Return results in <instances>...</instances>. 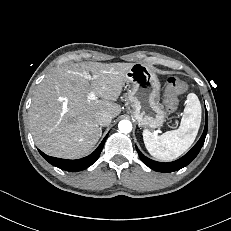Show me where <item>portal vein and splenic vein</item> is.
Returning <instances> with one entry per match:
<instances>
[{
	"label": "portal vein and splenic vein",
	"instance_id": "obj_1",
	"mask_svg": "<svg viewBox=\"0 0 231 231\" xmlns=\"http://www.w3.org/2000/svg\"><path fill=\"white\" fill-rule=\"evenodd\" d=\"M89 79H90V77H89ZM87 99H89V100H95L96 99L95 93H93V92L89 93L87 95Z\"/></svg>",
	"mask_w": 231,
	"mask_h": 231
}]
</instances>
